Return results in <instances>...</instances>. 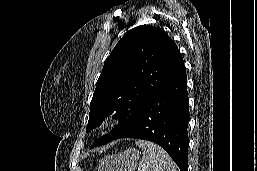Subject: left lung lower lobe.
<instances>
[{
    "instance_id": "obj_1",
    "label": "left lung lower lobe",
    "mask_w": 257,
    "mask_h": 171,
    "mask_svg": "<svg viewBox=\"0 0 257 171\" xmlns=\"http://www.w3.org/2000/svg\"><path fill=\"white\" fill-rule=\"evenodd\" d=\"M189 119L187 75L179 53L134 121L113 140L135 138L157 143L181 171H188Z\"/></svg>"
}]
</instances>
